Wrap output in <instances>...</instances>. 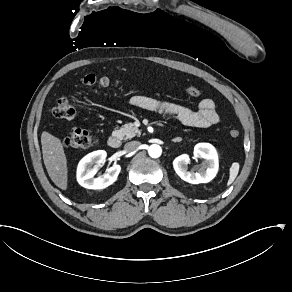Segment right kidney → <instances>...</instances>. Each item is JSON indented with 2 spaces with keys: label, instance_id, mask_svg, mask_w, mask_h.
<instances>
[{
  "label": "right kidney",
  "instance_id": "1",
  "mask_svg": "<svg viewBox=\"0 0 292 292\" xmlns=\"http://www.w3.org/2000/svg\"><path fill=\"white\" fill-rule=\"evenodd\" d=\"M105 151H96L84 157L77 168V180L86 189L100 190L112 185L118 178L121 166L115 164L107 170V174L101 177H94L106 159Z\"/></svg>",
  "mask_w": 292,
  "mask_h": 292
}]
</instances>
